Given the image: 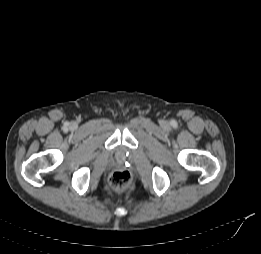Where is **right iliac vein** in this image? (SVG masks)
<instances>
[{
	"label": "right iliac vein",
	"mask_w": 261,
	"mask_h": 254,
	"mask_svg": "<svg viewBox=\"0 0 261 254\" xmlns=\"http://www.w3.org/2000/svg\"><path fill=\"white\" fill-rule=\"evenodd\" d=\"M72 129H74V128H76V124H71V126H70Z\"/></svg>",
	"instance_id": "63e3f726"
}]
</instances>
